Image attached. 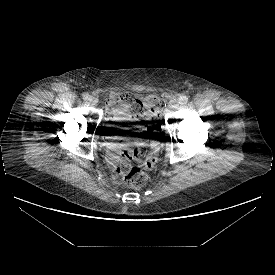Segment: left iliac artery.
<instances>
[{"mask_svg":"<svg viewBox=\"0 0 275 275\" xmlns=\"http://www.w3.org/2000/svg\"><path fill=\"white\" fill-rule=\"evenodd\" d=\"M188 102V97L185 95H180L178 98V103L181 105H185Z\"/></svg>","mask_w":275,"mask_h":275,"instance_id":"1","label":"left iliac artery"}]
</instances>
